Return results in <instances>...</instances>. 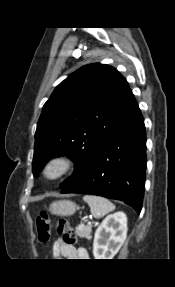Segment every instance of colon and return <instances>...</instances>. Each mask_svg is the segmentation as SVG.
Returning <instances> with one entry per match:
<instances>
[{
    "label": "colon",
    "instance_id": "obj_1",
    "mask_svg": "<svg viewBox=\"0 0 175 287\" xmlns=\"http://www.w3.org/2000/svg\"><path fill=\"white\" fill-rule=\"evenodd\" d=\"M52 227L53 222L49 214L45 211H41L36 219V230L40 242L47 243L50 241ZM56 230L66 244L74 245L77 242L74 230L65 219H60L56 222Z\"/></svg>",
    "mask_w": 175,
    "mask_h": 287
}]
</instances>
